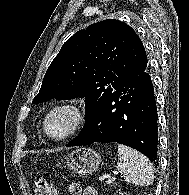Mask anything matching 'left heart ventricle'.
I'll return each instance as SVG.
<instances>
[{
	"instance_id": "1",
	"label": "left heart ventricle",
	"mask_w": 189,
	"mask_h": 195,
	"mask_svg": "<svg viewBox=\"0 0 189 195\" xmlns=\"http://www.w3.org/2000/svg\"><path fill=\"white\" fill-rule=\"evenodd\" d=\"M76 121L75 113L68 108L56 111L48 121V131L54 137H60L71 130Z\"/></svg>"
}]
</instances>
